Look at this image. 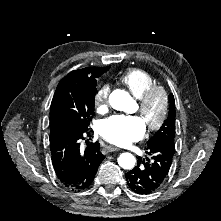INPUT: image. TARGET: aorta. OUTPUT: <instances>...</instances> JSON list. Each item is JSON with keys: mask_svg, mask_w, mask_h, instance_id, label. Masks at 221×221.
Wrapping results in <instances>:
<instances>
[{"mask_svg": "<svg viewBox=\"0 0 221 221\" xmlns=\"http://www.w3.org/2000/svg\"><path fill=\"white\" fill-rule=\"evenodd\" d=\"M109 102L112 108L125 112H129L135 104V101L130 94L120 89L114 90L111 93ZM135 163L136 159L131 153H122L118 158V164L123 169H133Z\"/></svg>", "mask_w": 221, "mask_h": 221, "instance_id": "obj_1", "label": "aorta"}]
</instances>
